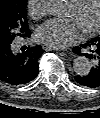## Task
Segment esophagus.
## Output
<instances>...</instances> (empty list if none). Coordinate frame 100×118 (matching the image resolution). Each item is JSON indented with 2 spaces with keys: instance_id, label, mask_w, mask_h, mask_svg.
<instances>
[{
  "instance_id": "esophagus-1",
  "label": "esophagus",
  "mask_w": 100,
  "mask_h": 118,
  "mask_svg": "<svg viewBox=\"0 0 100 118\" xmlns=\"http://www.w3.org/2000/svg\"><path fill=\"white\" fill-rule=\"evenodd\" d=\"M43 49L46 50V51L58 50V49H56L54 47H51L49 45H43Z\"/></svg>"
}]
</instances>
